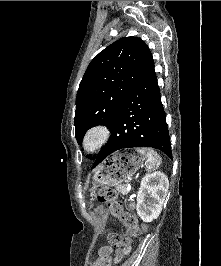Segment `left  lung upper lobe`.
Returning a JSON list of instances; mask_svg holds the SVG:
<instances>
[{"instance_id": "obj_1", "label": "left lung upper lobe", "mask_w": 221, "mask_h": 266, "mask_svg": "<svg viewBox=\"0 0 221 266\" xmlns=\"http://www.w3.org/2000/svg\"><path fill=\"white\" fill-rule=\"evenodd\" d=\"M153 72L152 54L141 38L124 37L101 51L77 91L74 125L78 144L89 128H110L132 88Z\"/></svg>"}]
</instances>
